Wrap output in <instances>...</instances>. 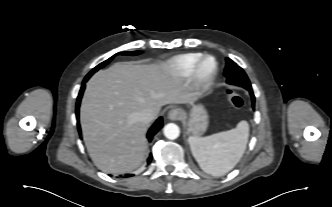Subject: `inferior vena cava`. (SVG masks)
Instances as JSON below:
<instances>
[{
	"instance_id": "obj_1",
	"label": "inferior vena cava",
	"mask_w": 332,
	"mask_h": 207,
	"mask_svg": "<svg viewBox=\"0 0 332 207\" xmlns=\"http://www.w3.org/2000/svg\"><path fill=\"white\" fill-rule=\"evenodd\" d=\"M154 117L155 111L153 109L147 108L138 113V119L145 124L150 123Z\"/></svg>"
}]
</instances>
